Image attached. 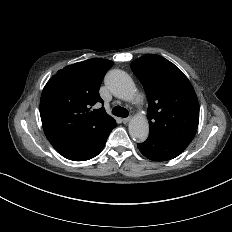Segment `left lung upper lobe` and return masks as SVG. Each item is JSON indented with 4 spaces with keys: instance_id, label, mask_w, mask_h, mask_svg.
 I'll return each mask as SVG.
<instances>
[{
    "instance_id": "1",
    "label": "left lung upper lobe",
    "mask_w": 232,
    "mask_h": 232,
    "mask_svg": "<svg viewBox=\"0 0 232 232\" xmlns=\"http://www.w3.org/2000/svg\"><path fill=\"white\" fill-rule=\"evenodd\" d=\"M131 69L148 99L149 134L186 149L199 123V103L188 78L159 55L140 57Z\"/></svg>"
}]
</instances>
